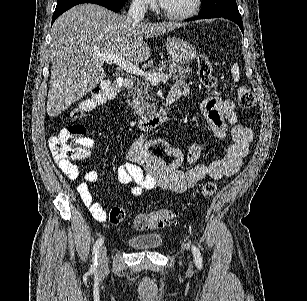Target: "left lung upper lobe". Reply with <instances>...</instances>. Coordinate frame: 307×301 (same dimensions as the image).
Wrapping results in <instances>:
<instances>
[{"mask_svg":"<svg viewBox=\"0 0 307 301\" xmlns=\"http://www.w3.org/2000/svg\"><path fill=\"white\" fill-rule=\"evenodd\" d=\"M200 15L241 17L235 0H202Z\"/></svg>","mask_w":307,"mask_h":301,"instance_id":"left-lung-upper-lobe-1","label":"left lung upper lobe"}]
</instances>
